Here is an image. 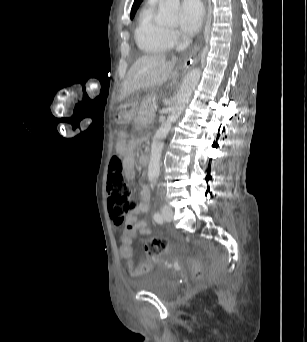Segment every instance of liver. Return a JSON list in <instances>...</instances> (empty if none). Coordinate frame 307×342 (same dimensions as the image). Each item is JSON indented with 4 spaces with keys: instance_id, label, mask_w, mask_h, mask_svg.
<instances>
[{
    "instance_id": "1",
    "label": "liver",
    "mask_w": 307,
    "mask_h": 342,
    "mask_svg": "<svg viewBox=\"0 0 307 342\" xmlns=\"http://www.w3.org/2000/svg\"><path fill=\"white\" fill-rule=\"evenodd\" d=\"M176 58L167 62V56L153 54V56H141L133 66L129 68L120 92V100H125L130 94L141 88H154L167 82L174 70Z\"/></svg>"
}]
</instances>
